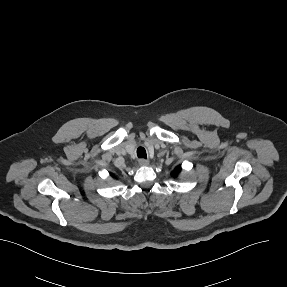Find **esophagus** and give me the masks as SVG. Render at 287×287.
Returning a JSON list of instances; mask_svg holds the SVG:
<instances>
[{
  "mask_svg": "<svg viewBox=\"0 0 287 287\" xmlns=\"http://www.w3.org/2000/svg\"><path fill=\"white\" fill-rule=\"evenodd\" d=\"M139 164L141 166H147V165H149V161L146 159H139Z\"/></svg>",
  "mask_w": 287,
  "mask_h": 287,
  "instance_id": "obj_1",
  "label": "esophagus"
}]
</instances>
